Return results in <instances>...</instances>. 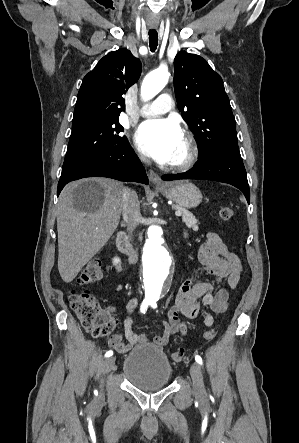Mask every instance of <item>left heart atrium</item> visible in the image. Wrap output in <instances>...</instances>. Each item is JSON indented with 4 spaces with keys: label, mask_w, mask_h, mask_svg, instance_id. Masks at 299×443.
<instances>
[{
    "label": "left heart atrium",
    "mask_w": 299,
    "mask_h": 443,
    "mask_svg": "<svg viewBox=\"0 0 299 443\" xmlns=\"http://www.w3.org/2000/svg\"><path fill=\"white\" fill-rule=\"evenodd\" d=\"M183 139V131L173 118L146 121L135 133L138 149L162 164L173 163Z\"/></svg>",
    "instance_id": "1"
}]
</instances>
